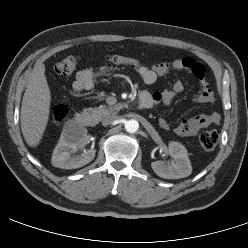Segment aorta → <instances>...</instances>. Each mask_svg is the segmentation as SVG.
Listing matches in <instances>:
<instances>
[{
  "instance_id": "obj_1",
  "label": "aorta",
  "mask_w": 248,
  "mask_h": 248,
  "mask_svg": "<svg viewBox=\"0 0 248 248\" xmlns=\"http://www.w3.org/2000/svg\"><path fill=\"white\" fill-rule=\"evenodd\" d=\"M125 129L128 133H135L139 129V123L138 121L131 119L126 121L125 123Z\"/></svg>"
}]
</instances>
